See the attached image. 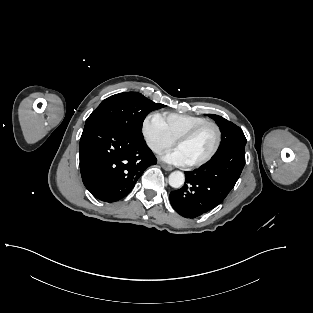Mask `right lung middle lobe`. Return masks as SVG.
Returning a JSON list of instances; mask_svg holds the SVG:
<instances>
[{"instance_id":"right-lung-middle-lobe-1","label":"right lung middle lobe","mask_w":313,"mask_h":313,"mask_svg":"<svg viewBox=\"0 0 313 313\" xmlns=\"http://www.w3.org/2000/svg\"><path fill=\"white\" fill-rule=\"evenodd\" d=\"M165 105L154 103L138 92L115 94L103 100L91 113L84 129L99 123H110L143 138L142 123L149 112Z\"/></svg>"}]
</instances>
